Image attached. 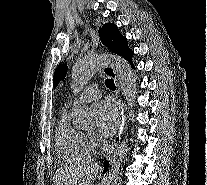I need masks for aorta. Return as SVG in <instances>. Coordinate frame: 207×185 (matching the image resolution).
<instances>
[{"mask_svg":"<svg viewBox=\"0 0 207 185\" xmlns=\"http://www.w3.org/2000/svg\"><path fill=\"white\" fill-rule=\"evenodd\" d=\"M106 64L114 68L123 94L132 108L136 99V77L130 64L123 58L115 55H88L78 60L72 68L71 88L74 93L80 92L92 76ZM73 124L83 130H89L94 125L93 112L83 104H77L72 112ZM128 139L120 143L109 163L108 174L104 179V185H121V171L128 153Z\"/></svg>","mask_w":207,"mask_h":185,"instance_id":"aorta-1","label":"aorta"}]
</instances>
